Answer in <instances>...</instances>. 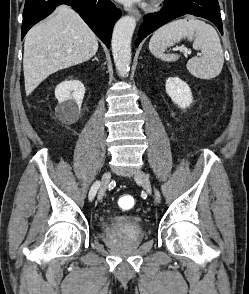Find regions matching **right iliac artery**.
Segmentation results:
<instances>
[{"instance_id": "82829eb1", "label": "right iliac artery", "mask_w": 249, "mask_h": 294, "mask_svg": "<svg viewBox=\"0 0 249 294\" xmlns=\"http://www.w3.org/2000/svg\"><path fill=\"white\" fill-rule=\"evenodd\" d=\"M100 187V182L99 181H96L93 186L91 187L90 189V192H89V199L90 200H93V198L95 197L96 193H97V190L99 189Z\"/></svg>"}]
</instances>
